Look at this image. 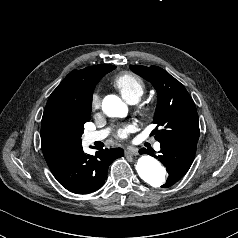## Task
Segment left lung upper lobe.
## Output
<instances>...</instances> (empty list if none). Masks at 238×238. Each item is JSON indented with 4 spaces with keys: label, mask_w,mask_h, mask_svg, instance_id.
I'll use <instances>...</instances> for the list:
<instances>
[{
    "label": "left lung upper lobe",
    "mask_w": 238,
    "mask_h": 238,
    "mask_svg": "<svg viewBox=\"0 0 238 238\" xmlns=\"http://www.w3.org/2000/svg\"><path fill=\"white\" fill-rule=\"evenodd\" d=\"M130 69L143 77L157 91L158 103L154 115L157 127L151 135L162 142L197 144L200 130L195 103L185 87L168 72L157 66L131 65ZM158 126L162 129L158 130Z\"/></svg>",
    "instance_id": "left-lung-upper-lobe-1"
}]
</instances>
